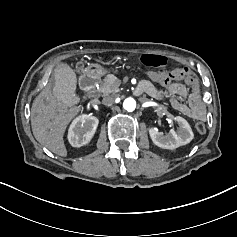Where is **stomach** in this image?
<instances>
[{
  "label": "stomach",
  "instance_id": "1",
  "mask_svg": "<svg viewBox=\"0 0 237 237\" xmlns=\"http://www.w3.org/2000/svg\"><path fill=\"white\" fill-rule=\"evenodd\" d=\"M97 69H98V72H97L98 77H102L107 74V70H105L103 67L97 66Z\"/></svg>",
  "mask_w": 237,
  "mask_h": 237
}]
</instances>
